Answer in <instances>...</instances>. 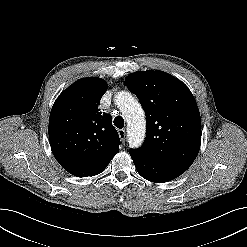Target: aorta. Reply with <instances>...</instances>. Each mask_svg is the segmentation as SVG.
<instances>
[{
  "label": "aorta",
  "instance_id": "1",
  "mask_svg": "<svg viewBox=\"0 0 247 247\" xmlns=\"http://www.w3.org/2000/svg\"><path fill=\"white\" fill-rule=\"evenodd\" d=\"M115 101L127 121L129 145L132 148L140 147L145 137V117L141 105L126 91L118 92Z\"/></svg>",
  "mask_w": 247,
  "mask_h": 247
}]
</instances>
